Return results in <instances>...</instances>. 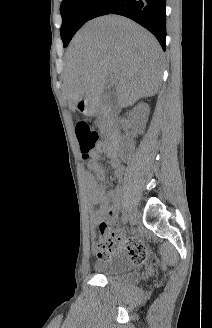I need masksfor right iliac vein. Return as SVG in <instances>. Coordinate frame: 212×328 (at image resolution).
<instances>
[{
	"label": "right iliac vein",
	"mask_w": 212,
	"mask_h": 328,
	"mask_svg": "<svg viewBox=\"0 0 212 328\" xmlns=\"http://www.w3.org/2000/svg\"><path fill=\"white\" fill-rule=\"evenodd\" d=\"M136 220H137V213L135 210H131L130 211V223L132 225H134L136 223Z\"/></svg>",
	"instance_id": "obj_1"
}]
</instances>
